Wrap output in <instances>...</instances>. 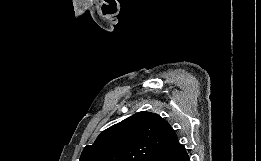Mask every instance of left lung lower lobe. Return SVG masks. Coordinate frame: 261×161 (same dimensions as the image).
<instances>
[{"instance_id":"left-lung-lower-lobe-1","label":"left lung lower lobe","mask_w":261,"mask_h":161,"mask_svg":"<svg viewBox=\"0 0 261 161\" xmlns=\"http://www.w3.org/2000/svg\"><path fill=\"white\" fill-rule=\"evenodd\" d=\"M150 161H190V158L176 137L170 145L160 148Z\"/></svg>"}]
</instances>
